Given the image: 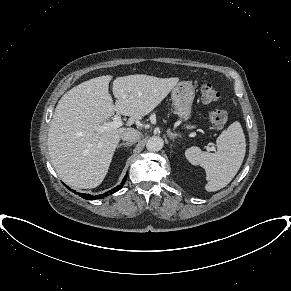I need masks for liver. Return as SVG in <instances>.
<instances>
[{
    "instance_id": "obj_1",
    "label": "liver",
    "mask_w": 291,
    "mask_h": 291,
    "mask_svg": "<svg viewBox=\"0 0 291 291\" xmlns=\"http://www.w3.org/2000/svg\"><path fill=\"white\" fill-rule=\"evenodd\" d=\"M112 76L85 81L59 100L48 130V151L60 178L67 184L87 189L104 180L122 127L98 133L95 128L116 112L135 121L152 112L178 84V78L128 75L113 81L115 105L109 94Z\"/></svg>"
}]
</instances>
